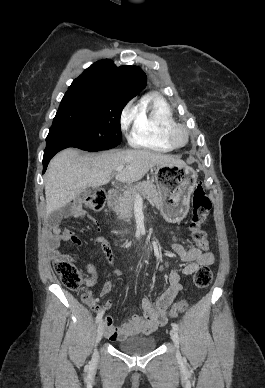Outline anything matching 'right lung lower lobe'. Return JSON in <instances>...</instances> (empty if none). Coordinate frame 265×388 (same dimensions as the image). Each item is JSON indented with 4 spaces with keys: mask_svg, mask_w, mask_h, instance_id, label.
<instances>
[{
    "mask_svg": "<svg viewBox=\"0 0 265 388\" xmlns=\"http://www.w3.org/2000/svg\"><path fill=\"white\" fill-rule=\"evenodd\" d=\"M64 148H67V147H64V146H58V147H54L52 149H49V150H45L44 152V157H43V173L46 171V168H47V165L50 161V159L57 153L59 152L60 150L64 149Z\"/></svg>",
    "mask_w": 265,
    "mask_h": 388,
    "instance_id": "98d812e1",
    "label": "right lung lower lobe"
}]
</instances>
